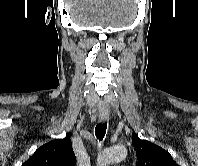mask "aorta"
<instances>
[{"instance_id":"aorta-1","label":"aorta","mask_w":198,"mask_h":166,"mask_svg":"<svg viewBox=\"0 0 198 166\" xmlns=\"http://www.w3.org/2000/svg\"><path fill=\"white\" fill-rule=\"evenodd\" d=\"M127 156V150L124 146H114L106 149L98 157V166H108L111 163L121 161Z\"/></svg>"}]
</instances>
